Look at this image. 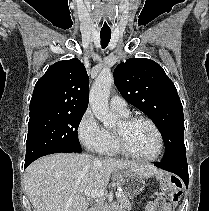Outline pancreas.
<instances>
[{"instance_id":"pancreas-1","label":"pancreas","mask_w":209,"mask_h":211,"mask_svg":"<svg viewBox=\"0 0 209 211\" xmlns=\"http://www.w3.org/2000/svg\"><path fill=\"white\" fill-rule=\"evenodd\" d=\"M121 196L118 197V202L120 203L119 211H130L132 208V204L128 200V196L125 192H120ZM91 211H108L107 203L104 197L98 198L95 202Z\"/></svg>"}]
</instances>
